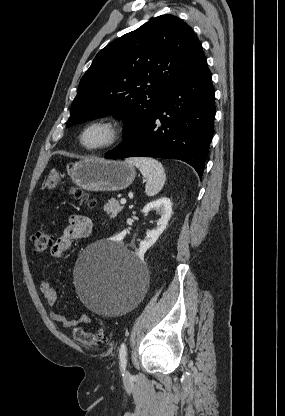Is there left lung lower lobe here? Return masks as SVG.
I'll return each instance as SVG.
<instances>
[{
    "label": "left lung lower lobe",
    "instance_id": "obj_1",
    "mask_svg": "<svg viewBox=\"0 0 285 416\" xmlns=\"http://www.w3.org/2000/svg\"><path fill=\"white\" fill-rule=\"evenodd\" d=\"M214 100L212 78L204 56L149 119L105 158L179 159L190 164L201 179L213 136ZM158 119L161 127L156 125Z\"/></svg>",
    "mask_w": 285,
    "mask_h": 416
}]
</instances>
